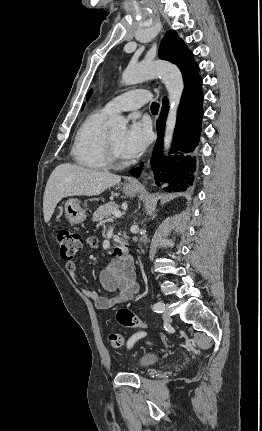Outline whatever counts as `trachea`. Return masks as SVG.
I'll use <instances>...</instances> for the list:
<instances>
[{"instance_id":"1","label":"trachea","mask_w":262,"mask_h":431,"mask_svg":"<svg viewBox=\"0 0 262 431\" xmlns=\"http://www.w3.org/2000/svg\"><path fill=\"white\" fill-rule=\"evenodd\" d=\"M159 110V104L157 102H153L151 104V111L152 113H157Z\"/></svg>"}]
</instances>
